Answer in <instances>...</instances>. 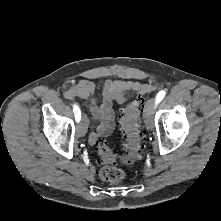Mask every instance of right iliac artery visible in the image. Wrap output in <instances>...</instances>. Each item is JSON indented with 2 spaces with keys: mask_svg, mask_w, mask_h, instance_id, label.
<instances>
[{
  "mask_svg": "<svg viewBox=\"0 0 221 221\" xmlns=\"http://www.w3.org/2000/svg\"><path fill=\"white\" fill-rule=\"evenodd\" d=\"M73 112L75 114V119L77 122L81 119V110L77 104H73Z\"/></svg>",
  "mask_w": 221,
  "mask_h": 221,
  "instance_id": "right-iliac-artery-1",
  "label": "right iliac artery"
}]
</instances>
